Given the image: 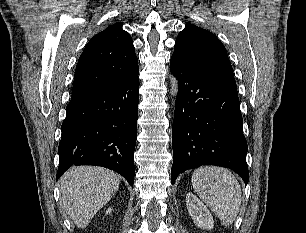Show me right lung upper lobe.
Wrapping results in <instances>:
<instances>
[{
  "mask_svg": "<svg viewBox=\"0 0 306 233\" xmlns=\"http://www.w3.org/2000/svg\"><path fill=\"white\" fill-rule=\"evenodd\" d=\"M121 27L114 23L87 43L75 70L71 101L107 91L138 68L133 41Z\"/></svg>",
  "mask_w": 306,
  "mask_h": 233,
  "instance_id": "cb5924a9",
  "label": "right lung upper lobe"
}]
</instances>
